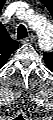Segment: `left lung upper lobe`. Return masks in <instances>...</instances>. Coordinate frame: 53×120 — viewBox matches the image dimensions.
<instances>
[{"label": "left lung upper lobe", "instance_id": "5c2ea615", "mask_svg": "<svg viewBox=\"0 0 53 120\" xmlns=\"http://www.w3.org/2000/svg\"><path fill=\"white\" fill-rule=\"evenodd\" d=\"M40 1L43 4H45V6L49 7V2H47L45 0H40ZM44 61H45L46 65L48 67H51L52 61H53L52 53H46V52H44Z\"/></svg>", "mask_w": 53, "mask_h": 120}]
</instances>
